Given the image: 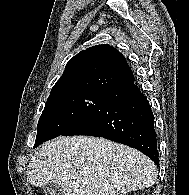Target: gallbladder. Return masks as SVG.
Returning a JSON list of instances; mask_svg holds the SVG:
<instances>
[{"mask_svg":"<svg viewBox=\"0 0 189 195\" xmlns=\"http://www.w3.org/2000/svg\"><path fill=\"white\" fill-rule=\"evenodd\" d=\"M62 188L57 183H50L43 187V192L45 195H60Z\"/></svg>","mask_w":189,"mask_h":195,"instance_id":"obj_1","label":"gallbladder"}]
</instances>
